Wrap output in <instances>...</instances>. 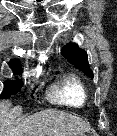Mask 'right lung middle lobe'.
Here are the masks:
<instances>
[{
    "label": "right lung middle lobe",
    "instance_id": "obj_1",
    "mask_svg": "<svg viewBox=\"0 0 117 136\" xmlns=\"http://www.w3.org/2000/svg\"><path fill=\"white\" fill-rule=\"evenodd\" d=\"M15 74H21V70H13ZM22 87L20 80L11 81L7 80L4 82V89L0 95V98H9L11 95L16 94Z\"/></svg>",
    "mask_w": 117,
    "mask_h": 136
}]
</instances>
